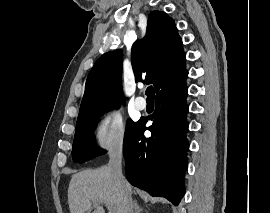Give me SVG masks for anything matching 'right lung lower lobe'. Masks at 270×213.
<instances>
[{
    "label": "right lung lower lobe",
    "instance_id": "obj_1",
    "mask_svg": "<svg viewBox=\"0 0 270 213\" xmlns=\"http://www.w3.org/2000/svg\"><path fill=\"white\" fill-rule=\"evenodd\" d=\"M184 71L177 79L156 92L155 112L140 119L124 137L123 153L128 181L152 196H163L174 205L184 195L186 150L189 145L186 103L188 88ZM153 124L145 127L147 121ZM151 132L146 138L145 130Z\"/></svg>",
    "mask_w": 270,
    "mask_h": 213
}]
</instances>
